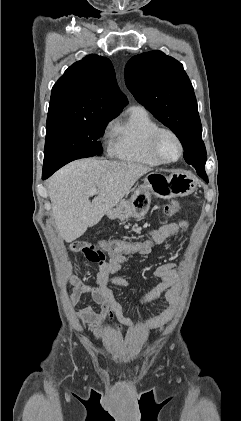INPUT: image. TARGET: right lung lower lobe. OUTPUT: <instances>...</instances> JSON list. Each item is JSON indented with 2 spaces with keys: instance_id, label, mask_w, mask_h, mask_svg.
Returning <instances> with one entry per match:
<instances>
[{
  "instance_id": "right-lung-lower-lobe-1",
  "label": "right lung lower lobe",
  "mask_w": 241,
  "mask_h": 421,
  "mask_svg": "<svg viewBox=\"0 0 241 421\" xmlns=\"http://www.w3.org/2000/svg\"><path fill=\"white\" fill-rule=\"evenodd\" d=\"M56 170V168L53 169H43L42 179H46L49 176H51Z\"/></svg>"
}]
</instances>
